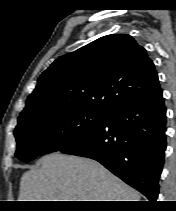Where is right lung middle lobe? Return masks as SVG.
<instances>
[{
  "mask_svg": "<svg viewBox=\"0 0 176 211\" xmlns=\"http://www.w3.org/2000/svg\"><path fill=\"white\" fill-rule=\"evenodd\" d=\"M107 113L84 108L49 109L18 119L15 156L28 162L59 151L99 126Z\"/></svg>",
  "mask_w": 176,
  "mask_h": 211,
  "instance_id": "dd1d6c3e",
  "label": "right lung middle lobe"
}]
</instances>
